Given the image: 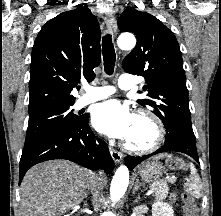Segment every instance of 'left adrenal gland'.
Returning a JSON list of instances; mask_svg holds the SVG:
<instances>
[{
	"label": "left adrenal gland",
	"mask_w": 221,
	"mask_h": 216,
	"mask_svg": "<svg viewBox=\"0 0 221 216\" xmlns=\"http://www.w3.org/2000/svg\"><path fill=\"white\" fill-rule=\"evenodd\" d=\"M141 186V184L139 183V180L137 179L132 191V196L135 194V192L139 189V187Z\"/></svg>",
	"instance_id": "1"
}]
</instances>
